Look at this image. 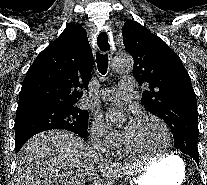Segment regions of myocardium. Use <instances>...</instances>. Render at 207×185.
<instances>
[{
	"label": "myocardium",
	"instance_id": "f54148a6",
	"mask_svg": "<svg viewBox=\"0 0 207 185\" xmlns=\"http://www.w3.org/2000/svg\"><path fill=\"white\" fill-rule=\"evenodd\" d=\"M141 119L142 120H153L162 127L163 132L165 134V138H166V147L164 148L163 151L158 152V153H148V152L138 151L131 147L129 140L126 134L124 133L122 135V145L126 153L131 156L141 157V158H160V157L166 156L172 145V134H171L170 128L167 125V123L162 118L155 116V115H144L141 117Z\"/></svg>",
	"mask_w": 207,
	"mask_h": 185
}]
</instances>
